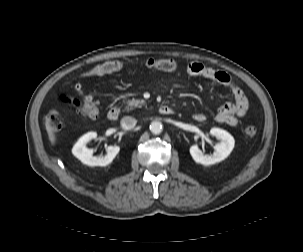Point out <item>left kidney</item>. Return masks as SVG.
I'll return each mask as SVG.
<instances>
[{
	"mask_svg": "<svg viewBox=\"0 0 303 252\" xmlns=\"http://www.w3.org/2000/svg\"><path fill=\"white\" fill-rule=\"evenodd\" d=\"M210 134L220 140L214 146L215 152L212 155H204L198 145L190 147V154L195 162L202 165H212L221 162L229 156L234 148V138L227 131L220 128H211Z\"/></svg>",
	"mask_w": 303,
	"mask_h": 252,
	"instance_id": "1",
	"label": "left kidney"
}]
</instances>
